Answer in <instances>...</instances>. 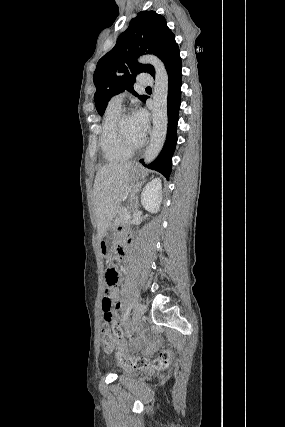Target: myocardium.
Returning <instances> with one entry per match:
<instances>
[{
  "label": "myocardium",
  "mask_w": 285,
  "mask_h": 427,
  "mask_svg": "<svg viewBox=\"0 0 285 427\" xmlns=\"http://www.w3.org/2000/svg\"><path fill=\"white\" fill-rule=\"evenodd\" d=\"M129 116H131V114L128 112H121L119 114V116L116 119V123H115V132H116L117 138H118L119 142L121 143V145L125 149L133 152V151H136V150L142 148L144 146V144L146 143V141L142 140L141 142H139L137 144H133V143H130L128 141V139L126 138L125 133L123 131V122H124L125 118H127Z\"/></svg>",
  "instance_id": "f54148a6"
}]
</instances>
